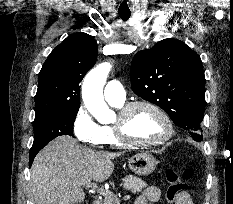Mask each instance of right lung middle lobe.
<instances>
[{"label":"right lung middle lobe","instance_id":"right-lung-middle-lobe-1","mask_svg":"<svg viewBox=\"0 0 233 204\" xmlns=\"http://www.w3.org/2000/svg\"><path fill=\"white\" fill-rule=\"evenodd\" d=\"M78 110L79 107L54 109L36 114L32 147H44L57 136L72 135Z\"/></svg>","mask_w":233,"mask_h":204}]
</instances>
